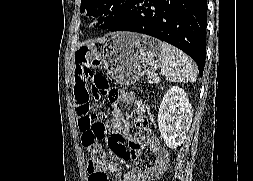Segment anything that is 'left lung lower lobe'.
I'll use <instances>...</instances> for the list:
<instances>
[{
    "mask_svg": "<svg viewBox=\"0 0 253 181\" xmlns=\"http://www.w3.org/2000/svg\"><path fill=\"white\" fill-rule=\"evenodd\" d=\"M207 0H133L109 31H132L166 41L192 57L202 76L206 56Z\"/></svg>",
    "mask_w": 253,
    "mask_h": 181,
    "instance_id": "1",
    "label": "left lung lower lobe"
}]
</instances>
